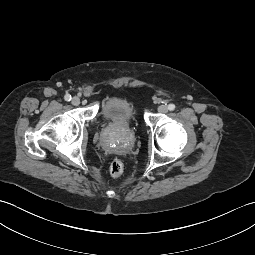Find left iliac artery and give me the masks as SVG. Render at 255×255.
<instances>
[{"mask_svg":"<svg viewBox=\"0 0 255 255\" xmlns=\"http://www.w3.org/2000/svg\"><path fill=\"white\" fill-rule=\"evenodd\" d=\"M168 109H169L170 111L175 110V105H174V104H169V105H168Z\"/></svg>","mask_w":255,"mask_h":255,"instance_id":"left-iliac-artery-1","label":"left iliac artery"}]
</instances>
